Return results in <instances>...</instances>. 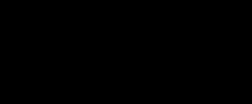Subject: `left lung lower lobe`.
<instances>
[{"label": "left lung lower lobe", "instance_id": "1", "mask_svg": "<svg viewBox=\"0 0 252 104\" xmlns=\"http://www.w3.org/2000/svg\"><path fill=\"white\" fill-rule=\"evenodd\" d=\"M217 81L214 75L177 78L155 94V99L170 104H188L195 101L211 103L214 100Z\"/></svg>", "mask_w": 252, "mask_h": 104}]
</instances>
